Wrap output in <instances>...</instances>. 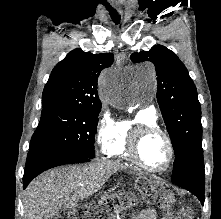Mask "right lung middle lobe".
Masks as SVG:
<instances>
[{
	"label": "right lung middle lobe",
	"mask_w": 221,
	"mask_h": 219,
	"mask_svg": "<svg viewBox=\"0 0 221 219\" xmlns=\"http://www.w3.org/2000/svg\"><path fill=\"white\" fill-rule=\"evenodd\" d=\"M42 115L30 148L48 146L59 151L94 158V136L101 107L85 108L64 104L42 105Z\"/></svg>",
	"instance_id": "obj_1"
}]
</instances>
